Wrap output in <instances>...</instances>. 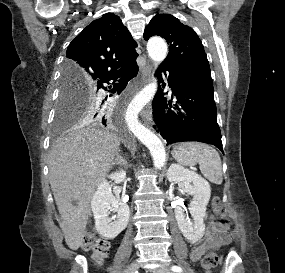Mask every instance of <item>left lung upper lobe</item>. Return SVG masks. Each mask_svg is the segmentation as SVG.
I'll use <instances>...</instances> for the list:
<instances>
[{
	"instance_id": "5c2ea615",
	"label": "left lung upper lobe",
	"mask_w": 285,
	"mask_h": 273,
	"mask_svg": "<svg viewBox=\"0 0 285 273\" xmlns=\"http://www.w3.org/2000/svg\"><path fill=\"white\" fill-rule=\"evenodd\" d=\"M159 35L167 40L169 54L161 64L175 70L186 80L212 84L204 47L195 31L169 14H157L144 31V39Z\"/></svg>"
}]
</instances>
